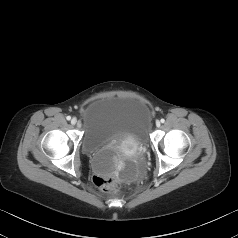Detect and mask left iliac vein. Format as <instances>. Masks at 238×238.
Masks as SVG:
<instances>
[{"mask_svg":"<svg viewBox=\"0 0 238 238\" xmlns=\"http://www.w3.org/2000/svg\"><path fill=\"white\" fill-rule=\"evenodd\" d=\"M160 125H161L160 121H156V126L160 127Z\"/></svg>","mask_w":238,"mask_h":238,"instance_id":"1","label":"left iliac vein"}]
</instances>
